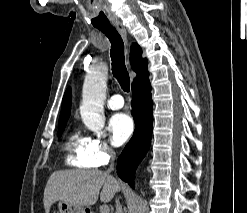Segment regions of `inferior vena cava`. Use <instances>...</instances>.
I'll list each match as a JSON object with an SVG mask.
<instances>
[{
	"mask_svg": "<svg viewBox=\"0 0 247 213\" xmlns=\"http://www.w3.org/2000/svg\"><path fill=\"white\" fill-rule=\"evenodd\" d=\"M110 155H111L112 161H114L116 154H115V152L113 150H110ZM113 168H114V165L112 163L110 165V168L107 170V172L108 173L111 172L113 170ZM115 206H116V213H123L120 201L118 199H116V205Z\"/></svg>",
	"mask_w": 247,
	"mask_h": 213,
	"instance_id": "602c4592",
	"label": "inferior vena cava"
}]
</instances>
